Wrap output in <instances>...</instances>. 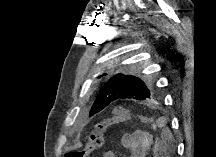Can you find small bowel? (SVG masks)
<instances>
[{
  "label": "small bowel",
  "instance_id": "small-bowel-1",
  "mask_svg": "<svg viewBox=\"0 0 216 157\" xmlns=\"http://www.w3.org/2000/svg\"><path fill=\"white\" fill-rule=\"evenodd\" d=\"M120 145L130 150L131 157H147L152 149L153 136L147 131H136L120 138ZM104 157H115L111 149L105 151Z\"/></svg>",
  "mask_w": 216,
  "mask_h": 157
}]
</instances>
